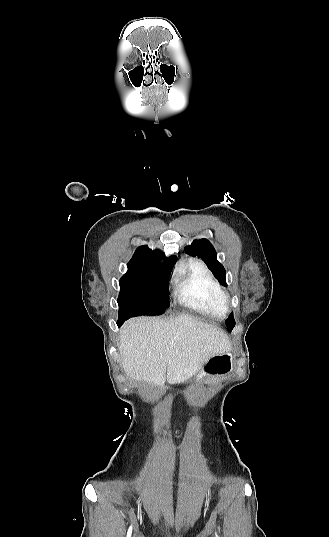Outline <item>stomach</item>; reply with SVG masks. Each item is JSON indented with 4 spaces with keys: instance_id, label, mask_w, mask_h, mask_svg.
I'll return each mask as SVG.
<instances>
[{
    "instance_id": "1",
    "label": "stomach",
    "mask_w": 329,
    "mask_h": 537,
    "mask_svg": "<svg viewBox=\"0 0 329 537\" xmlns=\"http://www.w3.org/2000/svg\"><path fill=\"white\" fill-rule=\"evenodd\" d=\"M233 369V354L231 351L212 356L190 380L200 381L209 377H223Z\"/></svg>"
}]
</instances>
